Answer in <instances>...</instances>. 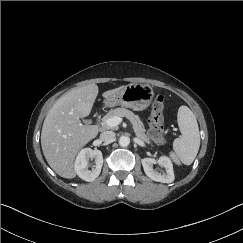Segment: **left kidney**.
Here are the masks:
<instances>
[{
    "label": "left kidney",
    "mask_w": 243,
    "mask_h": 243,
    "mask_svg": "<svg viewBox=\"0 0 243 243\" xmlns=\"http://www.w3.org/2000/svg\"><path fill=\"white\" fill-rule=\"evenodd\" d=\"M141 162L145 174L152 180L161 183H171L174 181L173 165L167 156H161L158 160L154 158H144ZM156 163L165 169L163 174L153 169V164Z\"/></svg>",
    "instance_id": "left-kidney-1"
}]
</instances>
